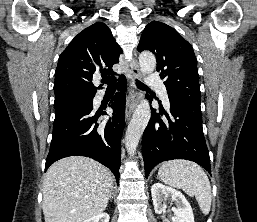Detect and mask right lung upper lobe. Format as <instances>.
<instances>
[{
  "mask_svg": "<svg viewBox=\"0 0 257 222\" xmlns=\"http://www.w3.org/2000/svg\"><path fill=\"white\" fill-rule=\"evenodd\" d=\"M122 53L106 24L97 22L74 37L61 53L55 71V103L94 97L95 74L112 75Z\"/></svg>",
  "mask_w": 257,
  "mask_h": 222,
  "instance_id": "cb5924a9",
  "label": "right lung upper lobe"
}]
</instances>
